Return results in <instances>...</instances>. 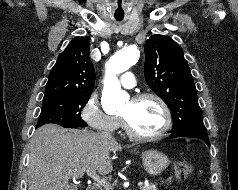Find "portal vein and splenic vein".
<instances>
[{
  "label": "portal vein and splenic vein",
  "instance_id": "portal-vein-and-splenic-vein-1",
  "mask_svg": "<svg viewBox=\"0 0 238 190\" xmlns=\"http://www.w3.org/2000/svg\"><path fill=\"white\" fill-rule=\"evenodd\" d=\"M87 175L97 181L98 183L102 184L104 187H111L110 183H108L105 179L101 178L99 175H97L96 171L93 169L87 170ZM139 187L143 186L142 182L138 183Z\"/></svg>",
  "mask_w": 238,
  "mask_h": 190
}]
</instances>
